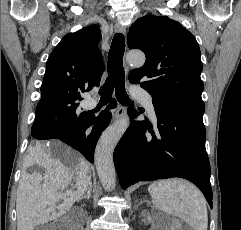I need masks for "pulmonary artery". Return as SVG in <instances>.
Returning <instances> with one entry per match:
<instances>
[{"label": "pulmonary artery", "mask_w": 241, "mask_h": 230, "mask_svg": "<svg viewBox=\"0 0 241 230\" xmlns=\"http://www.w3.org/2000/svg\"><path fill=\"white\" fill-rule=\"evenodd\" d=\"M132 92H133V96L144 104L150 117L153 120H155L156 116H155L152 96L146 91H144L143 89H141L140 87H135ZM84 105L86 108L92 109L96 107L97 102L94 99H89L85 102Z\"/></svg>", "instance_id": "1"}]
</instances>
